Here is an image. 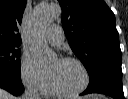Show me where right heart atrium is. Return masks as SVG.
Instances as JSON below:
<instances>
[{"label": "right heart atrium", "mask_w": 128, "mask_h": 99, "mask_svg": "<svg viewBox=\"0 0 128 99\" xmlns=\"http://www.w3.org/2000/svg\"><path fill=\"white\" fill-rule=\"evenodd\" d=\"M20 78L22 84L34 91L43 90L48 83L47 73L37 64L30 54H23L20 61Z\"/></svg>", "instance_id": "d8ad5b80"}]
</instances>
